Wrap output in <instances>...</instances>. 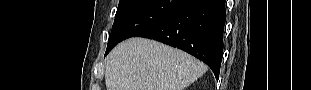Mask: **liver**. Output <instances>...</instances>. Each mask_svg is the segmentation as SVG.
Wrapping results in <instances>:
<instances>
[{
  "label": "liver",
  "mask_w": 311,
  "mask_h": 90,
  "mask_svg": "<svg viewBox=\"0 0 311 90\" xmlns=\"http://www.w3.org/2000/svg\"><path fill=\"white\" fill-rule=\"evenodd\" d=\"M207 71L193 56L145 39L116 46L106 63L107 90H183Z\"/></svg>",
  "instance_id": "1"
}]
</instances>
